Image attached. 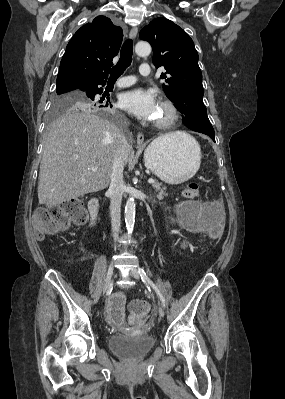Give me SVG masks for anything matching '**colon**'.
I'll use <instances>...</instances> for the list:
<instances>
[{"instance_id": "1", "label": "colon", "mask_w": 285, "mask_h": 399, "mask_svg": "<svg viewBox=\"0 0 285 399\" xmlns=\"http://www.w3.org/2000/svg\"><path fill=\"white\" fill-rule=\"evenodd\" d=\"M186 198L194 199L199 196V186L196 183L186 185L182 191ZM86 211L78 199H70L61 204L38 208L32 215L33 230L41 235L51 236L66 230L72 223H80L86 219ZM221 237L220 229L211 233V240L217 242ZM131 314L139 320L147 316L149 308L141 299H135L130 305Z\"/></svg>"}]
</instances>
